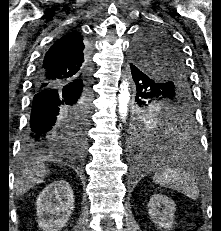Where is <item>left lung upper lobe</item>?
I'll use <instances>...</instances> for the list:
<instances>
[{
	"label": "left lung upper lobe",
	"instance_id": "1",
	"mask_svg": "<svg viewBox=\"0 0 221 231\" xmlns=\"http://www.w3.org/2000/svg\"><path fill=\"white\" fill-rule=\"evenodd\" d=\"M132 54L139 67L149 64V75L166 85L158 94L141 103L134 113L132 132L139 136L159 132L147 127L155 116H164L172 123L190 117L192 92L185 60L170 34L156 27L143 28L134 41Z\"/></svg>",
	"mask_w": 221,
	"mask_h": 231
}]
</instances>
